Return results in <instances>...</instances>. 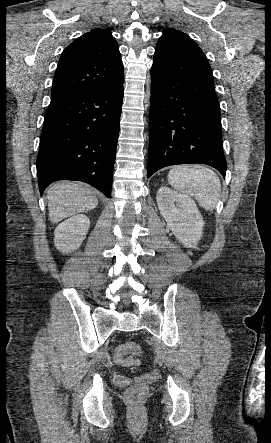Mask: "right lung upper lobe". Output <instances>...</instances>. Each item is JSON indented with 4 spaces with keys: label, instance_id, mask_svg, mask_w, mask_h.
<instances>
[{
    "label": "right lung upper lobe",
    "instance_id": "right-lung-upper-lobe-1",
    "mask_svg": "<svg viewBox=\"0 0 271 443\" xmlns=\"http://www.w3.org/2000/svg\"><path fill=\"white\" fill-rule=\"evenodd\" d=\"M123 80L118 43L110 30L94 29L73 41L61 54L51 98L112 87Z\"/></svg>",
    "mask_w": 271,
    "mask_h": 443
}]
</instances>
